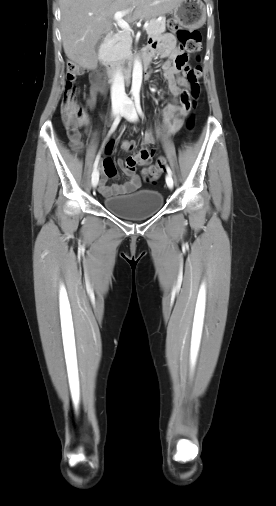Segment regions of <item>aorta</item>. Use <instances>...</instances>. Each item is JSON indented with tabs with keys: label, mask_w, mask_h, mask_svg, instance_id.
Instances as JSON below:
<instances>
[{
	"label": "aorta",
	"mask_w": 276,
	"mask_h": 506,
	"mask_svg": "<svg viewBox=\"0 0 276 506\" xmlns=\"http://www.w3.org/2000/svg\"><path fill=\"white\" fill-rule=\"evenodd\" d=\"M142 71L143 68L141 61L139 59H135L132 73V87H131L132 95H137L140 92L142 84Z\"/></svg>",
	"instance_id": "obj_1"
}]
</instances>
